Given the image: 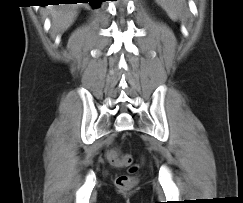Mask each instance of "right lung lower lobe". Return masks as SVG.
I'll return each instance as SVG.
<instances>
[{
	"label": "right lung lower lobe",
	"instance_id": "right-lung-lower-lobe-1",
	"mask_svg": "<svg viewBox=\"0 0 243 203\" xmlns=\"http://www.w3.org/2000/svg\"><path fill=\"white\" fill-rule=\"evenodd\" d=\"M58 1H59L58 3H70V4L78 3V2H81V3L90 2L94 8H97V7H99L100 2H103L105 0H58ZM43 5H45V4H43Z\"/></svg>",
	"mask_w": 243,
	"mask_h": 203
}]
</instances>
